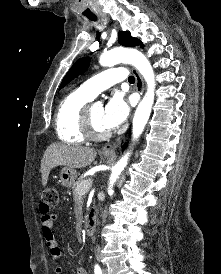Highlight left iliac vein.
Instances as JSON below:
<instances>
[{
	"label": "left iliac vein",
	"instance_id": "4c4485c4",
	"mask_svg": "<svg viewBox=\"0 0 221 274\" xmlns=\"http://www.w3.org/2000/svg\"><path fill=\"white\" fill-rule=\"evenodd\" d=\"M102 274H108L107 269H103V273Z\"/></svg>",
	"mask_w": 221,
	"mask_h": 274
}]
</instances>
